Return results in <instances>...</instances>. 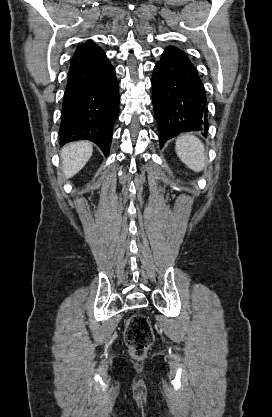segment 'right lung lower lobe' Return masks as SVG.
Masks as SVG:
<instances>
[{"instance_id":"98d812e1","label":"right lung lower lobe","mask_w":272,"mask_h":417,"mask_svg":"<svg viewBox=\"0 0 272 417\" xmlns=\"http://www.w3.org/2000/svg\"><path fill=\"white\" fill-rule=\"evenodd\" d=\"M119 101L115 69L104 51L93 45L75 54L63 100L60 144L90 140L107 156Z\"/></svg>"}]
</instances>
